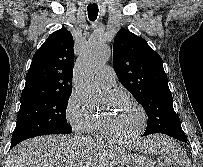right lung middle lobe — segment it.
<instances>
[{"label":"right lung middle lobe","instance_id":"obj_1","mask_svg":"<svg viewBox=\"0 0 203 167\" xmlns=\"http://www.w3.org/2000/svg\"><path fill=\"white\" fill-rule=\"evenodd\" d=\"M70 95L56 94L21 101L11 145L35 136L71 133L72 128L66 120Z\"/></svg>","mask_w":203,"mask_h":167}]
</instances>
